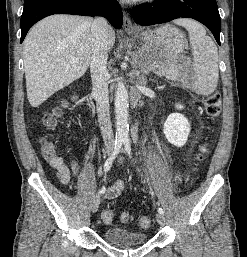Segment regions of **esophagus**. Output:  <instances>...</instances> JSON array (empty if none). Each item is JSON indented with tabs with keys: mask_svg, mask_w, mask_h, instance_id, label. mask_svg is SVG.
I'll return each mask as SVG.
<instances>
[{
	"mask_svg": "<svg viewBox=\"0 0 247 257\" xmlns=\"http://www.w3.org/2000/svg\"><path fill=\"white\" fill-rule=\"evenodd\" d=\"M123 28L126 32H136L138 28L132 23L130 17L128 14L124 13L123 17Z\"/></svg>",
	"mask_w": 247,
	"mask_h": 257,
	"instance_id": "obj_1",
	"label": "esophagus"
}]
</instances>
